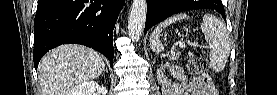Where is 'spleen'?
I'll list each match as a JSON object with an SVG mask.
<instances>
[{
    "label": "spleen",
    "mask_w": 277,
    "mask_h": 95,
    "mask_svg": "<svg viewBox=\"0 0 277 95\" xmlns=\"http://www.w3.org/2000/svg\"><path fill=\"white\" fill-rule=\"evenodd\" d=\"M188 18L187 14H177L161 22L150 36L151 50L156 53L162 52L164 46L160 41L161 31L172 23ZM201 30L211 48L210 67L215 72H220L224 69L230 54V38L227 29L214 15L205 14Z\"/></svg>",
    "instance_id": "spleen-1"
}]
</instances>
